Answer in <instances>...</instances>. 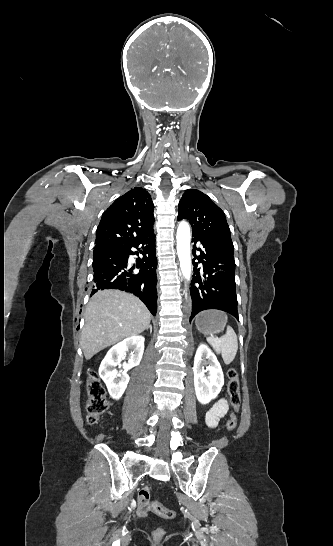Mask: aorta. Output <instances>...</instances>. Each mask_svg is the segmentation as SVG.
Here are the masks:
<instances>
[{
	"label": "aorta",
	"mask_w": 333,
	"mask_h": 546,
	"mask_svg": "<svg viewBox=\"0 0 333 546\" xmlns=\"http://www.w3.org/2000/svg\"><path fill=\"white\" fill-rule=\"evenodd\" d=\"M190 226L187 222L179 223L177 229V254L180 261V267L185 279L190 280L191 277V257H190Z\"/></svg>",
	"instance_id": "1"
}]
</instances>
